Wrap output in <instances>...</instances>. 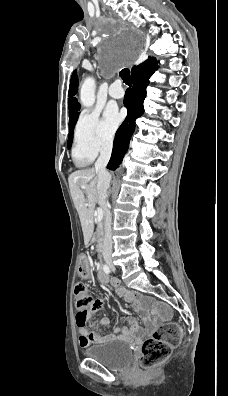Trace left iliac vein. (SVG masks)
<instances>
[{
	"label": "left iliac vein",
	"instance_id": "4c4485c4",
	"mask_svg": "<svg viewBox=\"0 0 228 396\" xmlns=\"http://www.w3.org/2000/svg\"><path fill=\"white\" fill-rule=\"evenodd\" d=\"M112 270L115 271V268L112 266Z\"/></svg>",
	"mask_w": 228,
	"mask_h": 396
}]
</instances>
